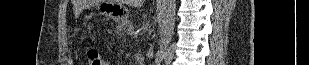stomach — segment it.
<instances>
[{
  "mask_svg": "<svg viewBox=\"0 0 309 65\" xmlns=\"http://www.w3.org/2000/svg\"><path fill=\"white\" fill-rule=\"evenodd\" d=\"M99 13L113 20L115 23H117L121 27H125L128 25L127 9L120 2H116V1L104 2L99 7Z\"/></svg>",
  "mask_w": 309,
  "mask_h": 65,
  "instance_id": "1",
  "label": "stomach"
}]
</instances>
